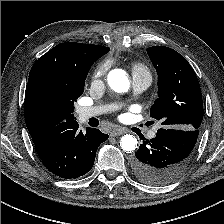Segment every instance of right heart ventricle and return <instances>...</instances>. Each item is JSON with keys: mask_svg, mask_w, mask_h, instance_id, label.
<instances>
[{"mask_svg": "<svg viewBox=\"0 0 224 224\" xmlns=\"http://www.w3.org/2000/svg\"><path fill=\"white\" fill-rule=\"evenodd\" d=\"M131 69H132V73H133L134 76L138 75V74L149 75L148 68L140 62L133 63L132 66H131Z\"/></svg>", "mask_w": 224, "mask_h": 224, "instance_id": "e07e8e85", "label": "right heart ventricle"}]
</instances>
